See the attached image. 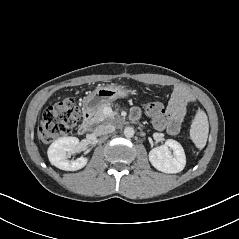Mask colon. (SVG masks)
<instances>
[{"instance_id": "5ec220e1", "label": "colon", "mask_w": 239, "mask_h": 239, "mask_svg": "<svg viewBox=\"0 0 239 239\" xmlns=\"http://www.w3.org/2000/svg\"><path fill=\"white\" fill-rule=\"evenodd\" d=\"M147 120L156 131L168 132L167 113L159 102L146 104ZM80 120V112L73 99H64L48 107L42 116L38 129L39 138L43 142H51L59 136L69 133Z\"/></svg>"}]
</instances>
